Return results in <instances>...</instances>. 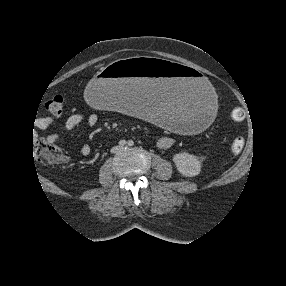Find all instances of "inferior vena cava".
<instances>
[{
  "mask_svg": "<svg viewBox=\"0 0 286 286\" xmlns=\"http://www.w3.org/2000/svg\"><path fill=\"white\" fill-rule=\"evenodd\" d=\"M117 149H118L117 147H114V148L111 149V152L115 153Z\"/></svg>",
  "mask_w": 286,
  "mask_h": 286,
  "instance_id": "inferior-vena-cava-1",
  "label": "inferior vena cava"
}]
</instances>
